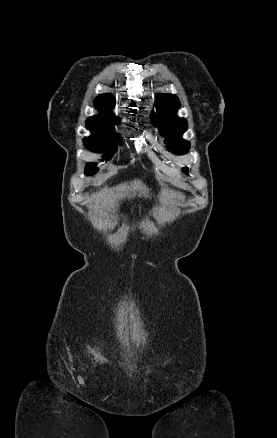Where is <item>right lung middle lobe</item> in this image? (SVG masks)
I'll return each instance as SVG.
<instances>
[{"label":"right lung middle lobe","mask_w":277,"mask_h":438,"mask_svg":"<svg viewBox=\"0 0 277 438\" xmlns=\"http://www.w3.org/2000/svg\"><path fill=\"white\" fill-rule=\"evenodd\" d=\"M113 126L114 125L97 128L87 127L92 132V136L84 139V145L89 150L93 152H106L103 157L105 160L110 159L117 150L115 139H117L118 134L113 132ZM96 172L97 168L94 163H88L86 165L85 173L87 175H92Z\"/></svg>","instance_id":"dd1d6c3e"}]
</instances>
